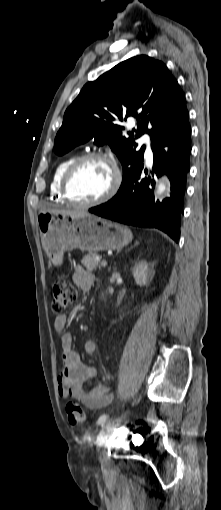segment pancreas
Here are the masks:
<instances>
[{"instance_id": "pancreas-1", "label": "pancreas", "mask_w": 221, "mask_h": 510, "mask_svg": "<svg viewBox=\"0 0 221 510\" xmlns=\"http://www.w3.org/2000/svg\"><path fill=\"white\" fill-rule=\"evenodd\" d=\"M96 257L97 253H89L82 258L81 263L86 267L88 271H94L97 268L100 269L101 266L96 260Z\"/></svg>"}]
</instances>
